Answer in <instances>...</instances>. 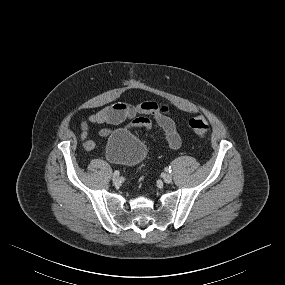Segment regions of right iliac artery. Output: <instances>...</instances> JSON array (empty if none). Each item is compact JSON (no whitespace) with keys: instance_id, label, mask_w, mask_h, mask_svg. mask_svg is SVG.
Returning a JSON list of instances; mask_svg holds the SVG:
<instances>
[{"instance_id":"right-iliac-artery-1","label":"right iliac artery","mask_w":285,"mask_h":285,"mask_svg":"<svg viewBox=\"0 0 285 285\" xmlns=\"http://www.w3.org/2000/svg\"><path fill=\"white\" fill-rule=\"evenodd\" d=\"M119 174H120V172H119L118 170H116V171L114 172V175H115V176H119Z\"/></svg>"}]
</instances>
